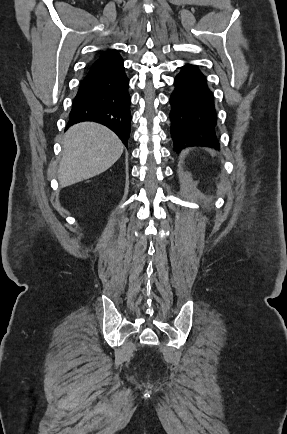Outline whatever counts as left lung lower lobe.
Returning a JSON list of instances; mask_svg holds the SVG:
<instances>
[{
  "mask_svg": "<svg viewBox=\"0 0 287 434\" xmlns=\"http://www.w3.org/2000/svg\"><path fill=\"white\" fill-rule=\"evenodd\" d=\"M170 97L171 137L174 149L208 146L219 148L213 93L194 65H185L175 77Z\"/></svg>",
  "mask_w": 287,
  "mask_h": 434,
  "instance_id": "0a47b994",
  "label": "left lung lower lobe"
}]
</instances>
